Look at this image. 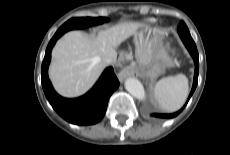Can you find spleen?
Listing matches in <instances>:
<instances>
[{"instance_id":"1","label":"spleen","mask_w":230,"mask_h":155,"mask_svg":"<svg viewBox=\"0 0 230 155\" xmlns=\"http://www.w3.org/2000/svg\"><path fill=\"white\" fill-rule=\"evenodd\" d=\"M188 92V79L181 74L161 79L154 90L155 98L165 112H174L181 108Z\"/></svg>"}]
</instances>
